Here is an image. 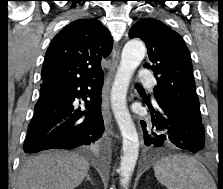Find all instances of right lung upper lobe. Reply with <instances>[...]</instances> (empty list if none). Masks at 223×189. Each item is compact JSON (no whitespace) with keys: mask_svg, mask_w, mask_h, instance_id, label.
I'll use <instances>...</instances> for the list:
<instances>
[{"mask_svg":"<svg viewBox=\"0 0 223 189\" xmlns=\"http://www.w3.org/2000/svg\"><path fill=\"white\" fill-rule=\"evenodd\" d=\"M109 31L97 19H78L62 29L48 47L41 88L93 81L103 75L101 59L112 51Z\"/></svg>","mask_w":223,"mask_h":189,"instance_id":"cb5924a9","label":"right lung upper lobe"}]
</instances>
